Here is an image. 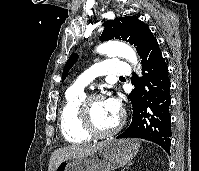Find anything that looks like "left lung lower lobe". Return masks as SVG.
Returning <instances> with one entry per match:
<instances>
[{
    "label": "left lung lower lobe",
    "instance_id": "1",
    "mask_svg": "<svg viewBox=\"0 0 199 171\" xmlns=\"http://www.w3.org/2000/svg\"><path fill=\"white\" fill-rule=\"evenodd\" d=\"M142 79L132 81L130 94L133 117L130 126L117 138H141L160 145L167 153L171 146L170 79L168 66L157 40L141 54Z\"/></svg>",
    "mask_w": 199,
    "mask_h": 171
}]
</instances>
